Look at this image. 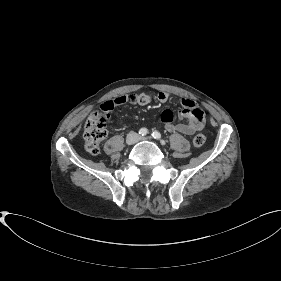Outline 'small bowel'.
Returning a JSON list of instances; mask_svg holds the SVG:
<instances>
[{"mask_svg":"<svg viewBox=\"0 0 281 281\" xmlns=\"http://www.w3.org/2000/svg\"><path fill=\"white\" fill-rule=\"evenodd\" d=\"M169 96L166 92L160 91L156 95V100L165 103ZM151 102V96L146 93L120 95L113 99L102 103L101 109L103 112L109 113L115 107L132 103L141 106L148 105ZM182 110L178 114L177 122H174V113L166 109L160 114V121L164 123L165 129L169 132H180L185 135H192L201 130L205 125V114L203 110L192 100H181Z\"/></svg>","mask_w":281,"mask_h":281,"instance_id":"obj_1","label":"small bowel"}]
</instances>
